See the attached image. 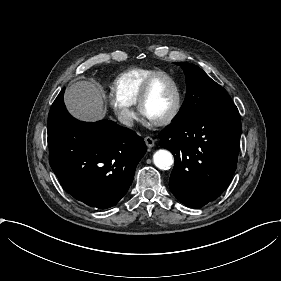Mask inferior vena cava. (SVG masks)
<instances>
[{
	"mask_svg": "<svg viewBox=\"0 0 281 281\" xmlns=\"http://www.w3.org/2000/svg\"><path fill=\"white\" fill-rule=\"evenodd\" d=\"M118 121L127 126V127H133L134 123H133V118L125 113H119L118 116Z\"/></svg>",
	"mask_w": 281,
	"mask_h": 281,
	"instance_id": "602c4592",
	"label": "inferior vena cava"
}]
</instances>
